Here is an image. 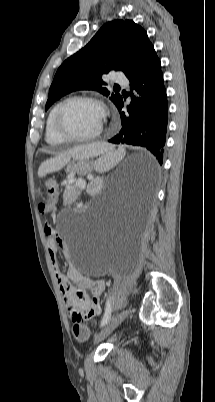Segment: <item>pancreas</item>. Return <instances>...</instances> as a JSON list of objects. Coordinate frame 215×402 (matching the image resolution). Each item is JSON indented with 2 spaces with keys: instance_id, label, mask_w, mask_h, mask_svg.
I'll use <instances>...</instances> for the list:
<instances>
[{
  "instance_id": "cf45deb5",
  "label": "pancreas",
  "mask_w": 215,
  "mask_h": 402,
  "mask_svg": "<svg viewBox=\"0 0 215 402\" xmlns=\"http://www.w3.org/2000/svg\"><path fill=\"white\" fill-rule=\"evenodd\" d=\"M75 191L77 192L78 195L80 194L79 186L76 183L72 184V185H68L65 190V194L69 195Z\"/></svg>"
}]
</instances>
